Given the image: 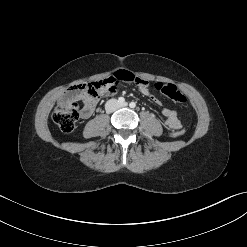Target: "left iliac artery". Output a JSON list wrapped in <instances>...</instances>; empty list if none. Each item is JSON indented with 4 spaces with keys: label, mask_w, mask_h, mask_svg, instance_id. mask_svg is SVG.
Segmentation results:
<instances>
[{
    "label": "left iliac artery",
    "mask_w": 247,
    "mask_h": 247,
    "mask_svg": "<svg viewBox=\"0 0 247 247\" xmlns=\"http://www.w3.org/2000/svg\"><path fill=\"white\" fill-rule=\"evenodd\" d=\"M129 106H130L131 108H135V107H136V103H135V102H131V103L129 104Z\"/></svg>",
    "instance_id": "left-iliac-artery-1"
}]
</instances>
